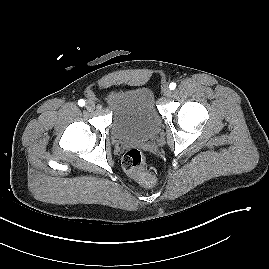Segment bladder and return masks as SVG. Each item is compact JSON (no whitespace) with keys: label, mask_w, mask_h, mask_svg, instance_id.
<instances>
[{"label":"bladder","mask_w":269,"mask_h":269,"mask_svg":"<svg viewBox=\"0 0 269 269\" xmlns=\"http://www.w3.org/2000/svg\"><path fill=\"white\" fill-rule=\"evenodd\" d=\"M107 102L113 113L111 130L117 140L146 141L161 127L152 91L146 86L112 89Z\"/></svg>","instance_id":"31cf9c89"}]
</instances>
